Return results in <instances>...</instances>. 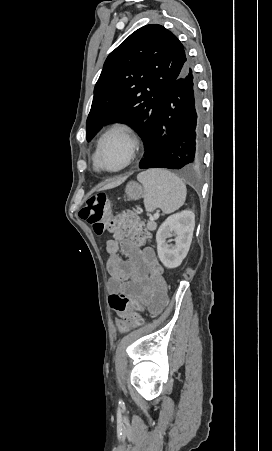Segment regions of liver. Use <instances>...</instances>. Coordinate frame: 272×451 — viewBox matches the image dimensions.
<instances>
[{
  "label": "liver",
  "instance_id": "1",
  "mask_svg": "<svg viewBox=\"0 0 272 451\" xmlns=\"http://www.w3.org/2000/svg\"><path fill=\"white\" fill-rule=\"evenodd\" d=\"M125 178H120V180H117V182H111V186H118V184H121V182H124Z\"/></svg>",
  "mask_w": 272,
  "mask_h": 451
}]
</instances>
